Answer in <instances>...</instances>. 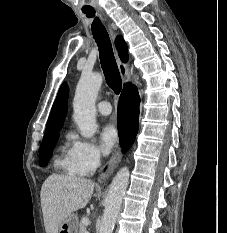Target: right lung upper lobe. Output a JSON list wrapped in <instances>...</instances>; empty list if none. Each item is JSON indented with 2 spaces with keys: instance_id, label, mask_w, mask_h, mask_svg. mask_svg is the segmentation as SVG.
I'll return each mask as SVG.
<instances>
[{
  "instance_id": "1",
  "label": "right lung upper lobe",
  "mask_w": 227,
  "mask_h": 233,
  "mask_svg": "<svg viewBox=\"0 0 227 233\" xmlns=\"http://www.w3.org/2000/svg\"><path fill=\"white\" fill-rule=\"evenodd\" d=\"M116 48L118 50L119 56L122 62H127L128 52L127 46L121 36L116 38ZM68 87L64 83L59 89L58 95L51 109V113L47 122L46 131L44 138H49L56 135L61 130L66 112H67V98H68ZM43 138V139H44Z\"/></svg>"
}]
</instances>
